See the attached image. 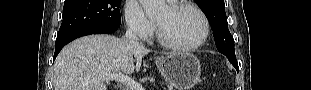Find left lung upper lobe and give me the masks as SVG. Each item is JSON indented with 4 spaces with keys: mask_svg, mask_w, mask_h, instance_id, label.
Listing matches in <instances>:
<instances>
[{
    "mask_svg": "<svg viewBox=\"0 0 311 90\" xmlns=\"http://www.w3.org/2000/svg\"><path fill=\"white\" fill-rule=\"evenodd\" d=\"M196 2L210 22L218 51L229 60H236L234 40L228 29L224 0H196Z\"/></svg>",
    "mask_w": 311,
    "mask_h": 90,
    "instance_id": "obj_1",
    "label": "left lung upper lobe"
}]
</instances>
